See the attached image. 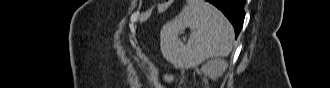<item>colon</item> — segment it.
Masks as SVG:
<instances>
[{
  "instance_id": "1",
  "label": "colon",
  "mask_w": 330,
  "mask_h": 88,
  "mask_svg": "<svg viewBox=\"0 0 330 88\" xmlns=\"http://www.w3.org/2000/svg\"><path fill=\"white\" fill-rule=\"evenodd\" d=\"M165 78H166L167 80H169V79H170V76H169V75H167Z\"/></svg>"
}]
</instances>
